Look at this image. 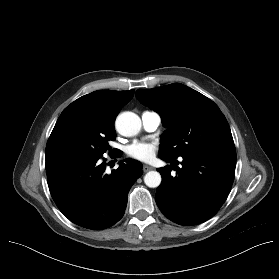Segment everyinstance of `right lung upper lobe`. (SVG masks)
<instances>
[{
  "instance_id": "obj_1",
  "label": "right lung upper lobe",
  "mask_w": 279,
  "mask_h": 279,
  "mask_svg": "<svg viewBox=\"0 0 279 279\" xmlns=\"http://www.w3.org/2000/svg\"><path fill=\"white\" fill-rule=\"evenodd\" d=\"M134 90H99L75 100L72 105H82L94 113L102 122L114 125L116 115L133 97Z\"/></svg>"
}]
</instances>
